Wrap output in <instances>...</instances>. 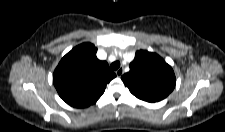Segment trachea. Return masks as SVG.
Listing matches in <instances>:
<instances>
[{"label":"trachea","mask_w":225,"mask_h":132,"mask_svg":"<svg viewBox=\"0 0 225 132\" xmlns=\"http://www.w3.org/2000/svg\"><path fill=\"white\" fill-rule=\"evenodd\" d=\"M110 67H111L112 70H117V69L120 67V62L115 61V62H113V63L111 64Z\"/></svg>","instance_id":"3493384b"}]
</instances>
